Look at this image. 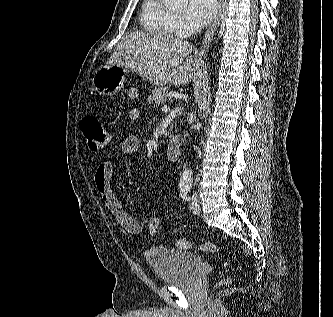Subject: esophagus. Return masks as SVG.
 <instances>
[{
    "label": "esophagus",
    "instance_id": "34e87169",
    "mask_svg": "<svg viewBox=\"0 0 333 317\" xmlns=\"http://www.w3.org/2000/svg\"><path fill=\"white\" fill-rule=\"evenodd\" d=\"M223 1L224 0H219L218 13H217L215 19L213 20L212 24L209 26V28L207 29V31L205 33V36L202 41L200 55H203L205 53V51L207 50V48L209 47V44L212 40L214 32L216 31V29L218 28V26L220 24L222 10H223Z\"/></svg>",
    "mask_w": 333,
    "mask_h": 317
}]
</instances>
